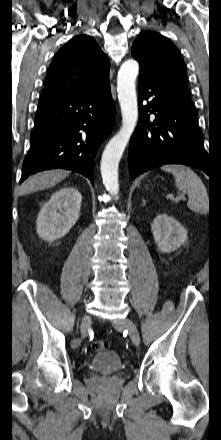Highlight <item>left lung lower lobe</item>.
Segmentation results:
<instances>
[{
	"label": "left lung lower lobe",
	"instance_id": "1",
	"mask_svg": "<svg viewBox=\"0 0 221 440\" xmlns=\"http://www.w3.org/2000/svg\"><path fill=\"white\" fill-rule=\"evenodd\" d=\"M139 122L129 146L130 178L164 164H185L210 175L211 165L200 140L198 115L190 99L139 74ZM151 96L153 99L143 105ZM155 119L151 121L150 115Z\"/></svg>",
	"mask_w": 221,
	"mask_h": 440
}]
</instances>
